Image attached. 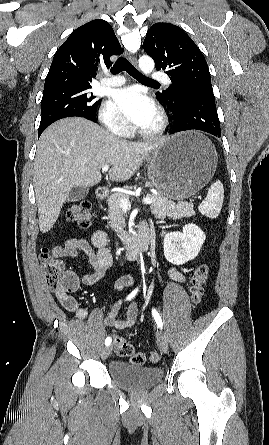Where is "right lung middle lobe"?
<instances>
[{"mask_svg": "<svg viewBox=\"0 0 269 445\" xmlns=\"http://www.w3.org/2000/svg\"><path fill=\"white\" fill-rule=\"evenodd\" d=\"M91 86H69L43 91L41 122L38 135L53 122L79 116L96 122V109L100 102L89 91Z\"/></svg>", "mask_w": 269, "mask_h": 445, "instance_id": "dd1d6c3e", "label": "right lung middle lobe"}]
</instances>
